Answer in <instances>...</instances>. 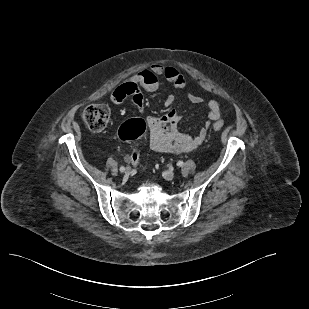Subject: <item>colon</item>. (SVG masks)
I'll return each instance as SVG.
<instances>
[{
	"mask_svg": "<svg viewBox=\"0 0 309 309\" xmlns=\"http://www.w3.org/2000/svg\"><path fill=\"white\" fill-rule=\"evenodd\" d=\"M110 110L103 104H91L82 111V119L87 127L94 132L103 131L109 122ZM223 122L218 121L213 124V129L218 131L222 129ZM146 132V123L142 119H131L125 122L120 130L119 136L123 141L134 143V148L130 155L133 164H137L139 159V143Z\"/></svg>",
	"mask_w": 309,
	"mask_h": 309,
	"instance_id": "colon-1",
	"label": "colon"
}]
</instances>
